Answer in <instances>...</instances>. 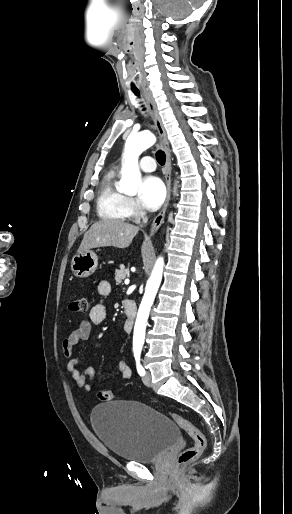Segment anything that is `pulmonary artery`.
<instances>
[{
  "mask_svg": "<svg viewBox=\"0 0 292 514\" xmlns=\"http://www.w3.org/2000/svg\"><path fill=\"white\" fill-rule=\"evenodd\" d=\"M142 163L140 164V169L143 172H154L156 169L155 160L151 157H143Z\"/></svg>",
  "mask_w": 292,
  "mask_h": 514,
  "instance_id": "obj_1",
  "label": "pulmonary artery"
}]
</instances>
